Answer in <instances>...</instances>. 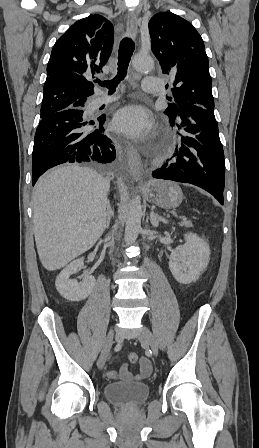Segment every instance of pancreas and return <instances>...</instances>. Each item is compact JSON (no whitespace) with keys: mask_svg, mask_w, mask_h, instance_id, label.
Listing matches in <instances>:
<instances>
[{"mask_svg":"<svg viewBox=\"0 0 259 448\" xmlns=\"http://www.w3.org/2000/svg\"><path fill=\"white\" fill-rule=\"evenodd\" d=\"M180 226H185V228H191V222H181Z\"/></svg>","mask_w":259,"mask_h":448,"instance_id":"pancreas-1","label":"pancreas"}]
</instances>
